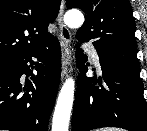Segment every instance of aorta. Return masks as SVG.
Returning <instances> with one entry per match:
<instances>
[{"label":"aorta","mask_w":147,"mask_h":131,"mask_svg":"<svg viewBox=\"0 0 147 131\" xmlns=\"http://www.w3.org/2000/svg\"><path fill=\"white\" fill-rule=\"evenodd\" d=\"M64 21L70 28H79L84 22V16L79 10H69ZM75 82L68 78L59 93L54 110L52 131H68L69 120L74 100Z\"/></svg>","instance_id":"1"}]
</instances>
